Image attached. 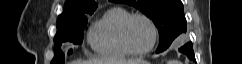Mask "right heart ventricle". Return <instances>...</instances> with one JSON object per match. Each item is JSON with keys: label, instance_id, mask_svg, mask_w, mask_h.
Returning <instances> with one entry per match:
<instances>
[{"label": "right heart ventricle", "instance_id": "e07e8e85", "mask_svg": "<svg viewBox=\"0 0 242 64\" xmlns=\"http://www.w3.org/2000/svg\"><path fill=\"white\" fill-rule=\"evenodd\" d=\"M129 14L130 12L122 7H112L91 26L88 41L96 53L109 58L131 55L120 39L121 25Z\"/></svg>", "mask_w": 242, "mask_h": 64}]
</instances>
